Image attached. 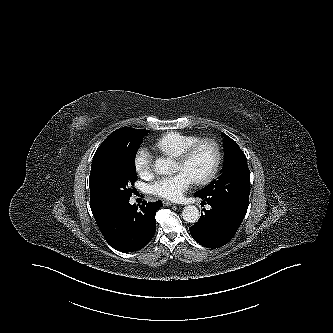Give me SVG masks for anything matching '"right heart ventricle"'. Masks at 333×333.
<instances>
[{
    "label": "right heart ventricle",
    "mask_w": 333,
    "mask_h": 333,
    "mask_svg": "<svg viewBox=\"0 0 333 333\" xmlns=\"http://www.w3.org/2000/svg\"><path fill=\"white\" fill-rule=\"evenodd\" d=\"M199 140L195 135H188L179 132H168L155 141V150L178 158L191 144Z\"/></svg>",
    "instance_id": "1"
}]
</instances>
